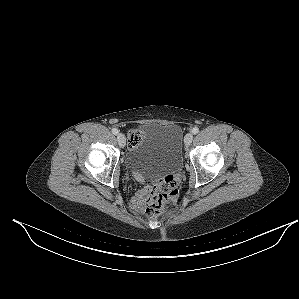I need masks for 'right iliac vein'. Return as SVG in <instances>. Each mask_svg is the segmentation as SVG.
Segmentation results:
<instances>
[{
  "label": "right iliac vein",
  "instance_id": "obj_1",
  "mask_svg": "<svg viewBox=\"0 0 299 299\" xmlns=\"http://www.w3.org/2000/svg\"><path fill=\"white\" fill-rule=\"evenodd\" d=\"M117 141H118V144L120 145V147H124L125 146V142H126L124 134L118 133V135H117Z\"/></svg>",
  "mask_w": 299,
  "mask_h": 299
}]
</instances>
